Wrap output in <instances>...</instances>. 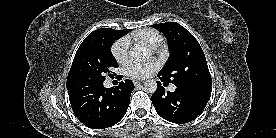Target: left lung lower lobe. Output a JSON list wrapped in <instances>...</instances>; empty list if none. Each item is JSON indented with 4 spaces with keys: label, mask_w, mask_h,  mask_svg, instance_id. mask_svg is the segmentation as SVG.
<instances>
[{
    "label": "left lung lower lobe",
    "mask_w": 276,
    "mask_h": 138,
    "mask_svg": "<svg viewBox=\"0 0 276 138\" xmlns=\"http://www.w3.org/2000/svg\"><path fill=\"white\" fill-rule=\"evenodd\" d=\"M162 82H166L158 73ZM157 90L152 95V103L157 113L173 123H187L200 115L211 96L212 88L176 86L174 92H165L158 82Z\"/></svg>",
    "instance_id": "left-lung-lower-lobe-1"
}]
</instances>
